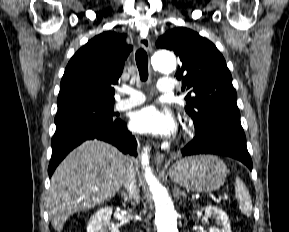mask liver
I'll return each mask as SVG.
<instances>
[{"mask_svg":"<svg viewBox=\"0 0 289 232\" xmlns=\"http://www.w3.org/2000/svg\"><path fill=\"white\" fill-rule=\"evenodd\" d=\"M132 167L129 157L103 141H86L70 152L51 177L48 213L60 232L68 218L111 199Z\"/></svg>","mask_w":289,"mask_h":232,"instance_id":"liver-1","label":"liver"}]
</instances>
